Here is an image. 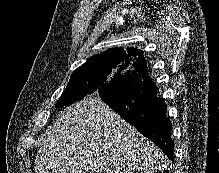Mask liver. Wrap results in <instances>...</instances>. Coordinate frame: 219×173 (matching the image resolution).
Listing matches in <instances>:
<instances>
[{
    "mask_svg": "<svg viewBox=\"0 0 219 173\" xmlns=\"http://www.w3.org/2000/svg\"><path fill=\"white\" fill-rule=\"evenodd\" d=\"M35 173H155L164 154L100 98L64 109L43 137Z\"/></svg>",
    "mask_w": 219,
    "mask_h": 173,
    "instance_id": "obj_1",
    "label": "liver"
}]
</instances>
